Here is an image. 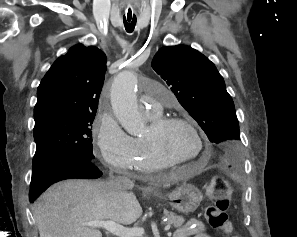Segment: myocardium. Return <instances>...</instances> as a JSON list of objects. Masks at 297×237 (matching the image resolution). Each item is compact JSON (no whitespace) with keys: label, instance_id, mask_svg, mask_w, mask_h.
Wrapping results in <instances>:
<instances>
[{"label":"myocardium","instance_id":"1","mask_svg":"<svg viewBox=\"0 0 297 237\" xmlns=\"http://www.w3.org/2000/svg\"><path fill=\"white\" fill-rule=\"evenodd\" d=\"M168 125H184L193 133V135L195 136L199 144V150L194 157L188 158V159H174L168 156L163 151V149L160 147V145L155 139V134ZM150 128L152 133L150 135L144 136L143 140L146 143L151 155L155 158V160L159 164L163 166H168V167L181 166L188 163L196 162L200 158L201 154L203 153L205 144L201 135L199 134L196 127L189 120L185 118L177 117V116L156 117L151 121Z\"/></svg>","mask_w":297,"mask_h":237}]
</instances>
